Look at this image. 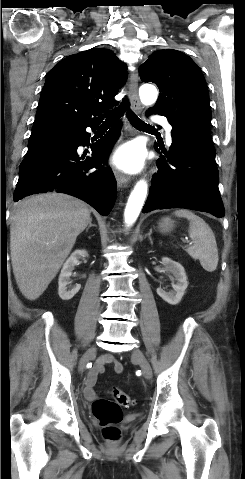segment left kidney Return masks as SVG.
Wrapping results in <instances>:
<instances>
[{"label": "left kidney", "mask_w": 245, "mask_h": 479, "mask_svg": "<svg viewBox=\"0 0 245 479\" xmlns=\"http://www.w3.org/2000/svg\"><path fill=\"white\" fill-rule=\"evenodd\" d=\"M162 265L164 266L165 271L174 276L176 284H172L173 291L169 292H166L162 288H157V294L167 303L176 305L181 301L188 286L185 270L180 263L173 261L168 257L162 258Z\"/></svg>", "instance_id": "left-kidney-1"}]
</instances>
